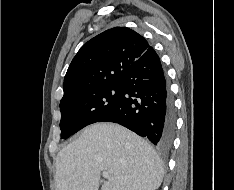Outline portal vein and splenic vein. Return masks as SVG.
I'll use <instances>...</instances> for the list:
<instances>
[{
    "mask_svg": "<svg viewBox=\"0 0 234 190\" xmlns=\"http://www.w3.org/2000/svg\"><path fill=\"white\" fill-rule=\"evenodd\" d=\"M102 176L104 177V178H106V179H111L112 177L110 176V174L108 173V172H106V171H104L103 173H102Z\"/></svg>",
    "mask_w": 234,
    "mask_h": 190,
    "instance_id": "1",
    "label": "portal vein and splenic vein"
}]
</instances>
